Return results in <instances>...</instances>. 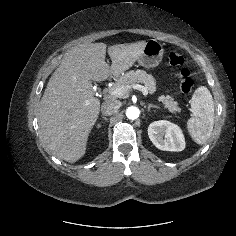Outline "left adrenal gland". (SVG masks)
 <instances>
[{"mask_svg": "<svg viewBox=\"0 0 236 236\" xmlns=\"http://www.w3.org/2000/svg\"><path fill=\"white\" fill-rule=\"evenodd\" d=\"M151 108H156V109H158L159 107L156 106V105L149 104L148 107H147V111L150 112Z\"/></svg>", "mask_w": 236, "mask_h": 236, "instance_id": "left-adrenal-gland-1", "label": "left adrenal gland"}]
</instances>
